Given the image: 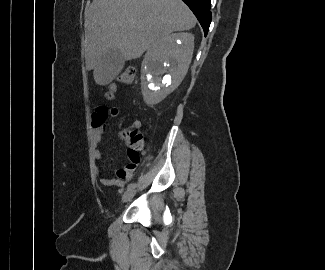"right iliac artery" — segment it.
Returning a JSON list of instances; mask_svg holds the SVG:
<instances>
[{
    "label": "right iliac artery",
    "instance_id": "obj_1",
    "mask_svg": "<svg viewBox=\"0 0 325 270\" xmlns=\"http://www.w3.org/2000/svg\"><path fill=\"white\" fill-rule=\"evenodd\" d=\"M135 186H136L135 183H130V184L127 186V190L132 189V188H134Z\"/></svg>",
    "mask_w": 325,
    "mask_h": 270
}]
</instances>
